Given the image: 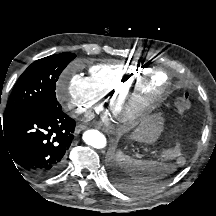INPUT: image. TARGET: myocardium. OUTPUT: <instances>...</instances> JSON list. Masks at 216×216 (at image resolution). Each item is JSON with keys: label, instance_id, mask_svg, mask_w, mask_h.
<instances>
[{"label": "myocardium", "instance_id": "myocardium-1", "mask_svg": "<svg viewBox=\"0 0 216 216\" xmlns=\"http://www.w3.org/2000/svg\"><path fill=\"white\" fill-rule=\"evenodd\" d=\"M159 74L165 76V82L160 87H155L154 81ZM169 87L168 75L160 70H152L117 94L112 101V110L125 127H133L151 110Z\"/></svg>", "mask_w": 216, "mask_h": 216}]
</instances>
